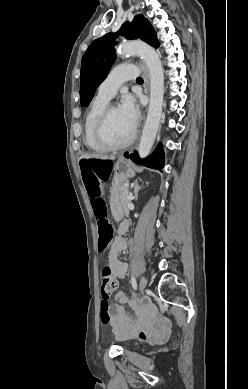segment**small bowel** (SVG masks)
Segmentation results:
<instances>
[{
    "label": "small bowel",
    "instance_id": "small-bowel-1",
    "mask_svg": "<svg viewBox=\"0 0 248 389\" xmlns=\"http://www.w3.org/2000/svg\"><path fill=\"white\" fill-rule=\"evenodd\" d=\"M128 229V224L123 222L119 227V232L124 233ZM126 241L118 236L110 247L108 254L109 267L115 277L126 278L128 265L119 259V254L126 249ZM110 305L111 322L110 325L117 337L139 338L148 343H159L170 333L169 322L160 317L148 306L140 305L133 300L125 299ZM128 304L136 313L133 320L126 313L124 305Z\"/></svg>",
    "mask_w": 248,
    "mask_h": 389
}]
</instances>
